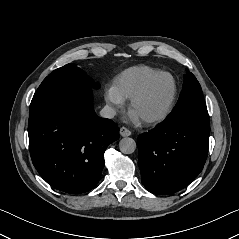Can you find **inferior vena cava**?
<instances>
[{
    "label": "inferior vena cava",
    "instance_id": "inferior-vena-cava-1",
    "mask_svg": "<svg viewBox=\"0 0 239 239\" xmlns=\"http://www.w3.org/2000/svg\"><path fill=\"white\" fill-rule=\"evenodd\" d=\"M100 115L103 118H113L116 115V110L113 107L106 105L100 111Z\"/></svg>",
    "mask_w": 239,
    "mask_h": 239
}]
</instances>
